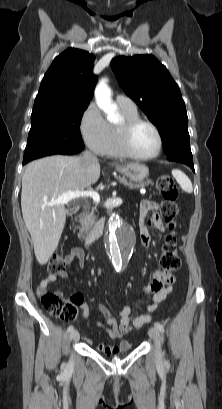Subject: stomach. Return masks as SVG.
Here are the masks:
<instances>
[{
  "label": "stomach",
  "mask_w": 222,
  "mask_h": 409,
  "mask_svg": "<svg viewBox=\"0 0 222 409\" xmlns=\"http://www.w3.org/2000/svg\"><path fill=\"white\" fill-rule=\"evenodd\" d=\"M116 170L134 182H142L149 175V169L141 163L117 165Z\"/></svg>",
  "instance_id": "obj_1"
}]
</instances>
